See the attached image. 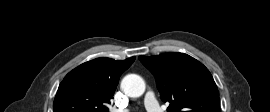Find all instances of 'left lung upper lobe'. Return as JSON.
<instances>
[{
  "label": "left lung upper lobe",
  "mask_w": 270,
  "mask_h": 112,
  "mask_svg": "<svg viewBox=\"0 0 270 112\" xmlns=\"http://www.w3.org/2000/svg\"><path fill=\"white\" fill-rule=\"evenodd\" d=\"M153 73L167 112H220L219 93L208 69L184 53L140 56Z\"/></svg>",
  "instance_id": "obj_1"
}]
</instances>
